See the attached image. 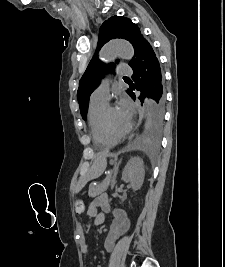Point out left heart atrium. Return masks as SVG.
<instances>
[{"instance_id": "left-heart-atrium-1", "label": "left heart atrium", "mask_w": 225, "mask_h": 267, "mask_svg": "<svg viewBox=\"0 0 225 267\" xmlns=\"http://www.w3.org/2000/svg\"><path fill=\"white\" fill-rule=\"evenodd\" d=\"M118 111L120 112L123 119L130 124L131 116H132V106L128 98L122 97L119 101Z\"/></svg>"}]
</instances>
